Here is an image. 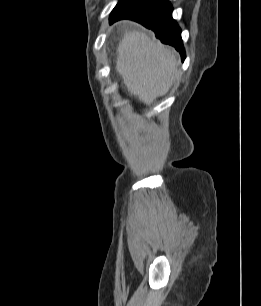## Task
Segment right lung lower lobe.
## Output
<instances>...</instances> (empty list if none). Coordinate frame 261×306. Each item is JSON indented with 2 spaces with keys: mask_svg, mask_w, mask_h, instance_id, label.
Segmentation results:
<instances>
[{
  "mask_svg": "<svg viewBox=\"0 0 261 306\" xmlns=\"http://www.w3.org/2000/svg\"><path fill=\"white\" fill-rule=\"evenodd\" d=\"M172 6L168 0H132L130 3L113 11L110 23L121 19H130L141 23L155 32L157 38L165 44L174 46L185 59L181 39V29L172 18Z\"/></svg>",
  "mask_w": 261,
  "mask_h": 306,
  "instance_id": "98d812e1",
  "label": "right lung lower lobe"
}]
</instances>
